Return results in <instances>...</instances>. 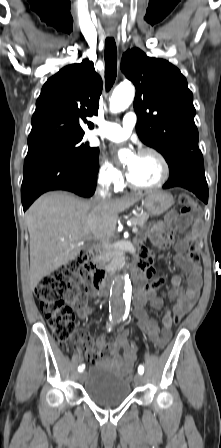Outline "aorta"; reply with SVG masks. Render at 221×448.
<instances>
[{
  "mask_svg": "<svg viewBox=\"0 0 221 448\" xmlns=\"http://www.w3.org/2000/svg\"><path fill=\"white\" fill-rule=\"evenodd\" d=\"M134 88L131 83H122L118 85L110 98V111L113 113H118L125 110L134 99ZM128 155V151L125 149H121L118 152V157L121 162H124L126 156ZM127 278V277H126ZM128 281V278H127ZM113 296L120 301H122V297L124 296V285L118 284L113 289Z\"/></svg>",
  "mask_w": 221,
  "mask_h": 448,
  "instance_id": "obj_1",
  "label": "aorta"
}]
</instances>
